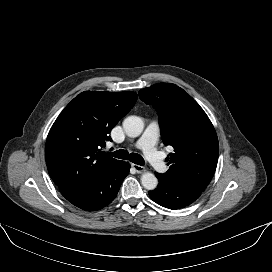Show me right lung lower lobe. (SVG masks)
<instances>
[{
  "label": "right lung lower lobe",
  "mask_w": 272,
  "mask_h": 272,
  "mask_svg": "<svg viewBox=\"0 0 272 272\" xmlns=\"http://www.w3.org/2000/svg\"><path fill=\"white\" fill-rule=\"evenodd\" d=\"M129 169L127 162L118 160L94 181L59 190L69 202L83 210H100L114 200Z\"/></svg>",
  "instance_id": "right-lung-lower-lobe-1"
}]
</instances>
